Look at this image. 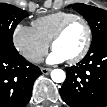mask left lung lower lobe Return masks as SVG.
Masks as SVG:
<instances>
[{
	"instance_id": "left-lung-lower-lobe-1",
	"label": "left lung lower lobe",
	"mask_w": 107,
	"mask_h": 107,
	"mask_svg": "<svg viewBox=\"0 0 107 107\" xmlns=\"http://www.w3.org/2000/svg\"><path fill=\"white\" fill-rule=\"evenodd\" d=\"M60 95L70 107L107 105V38L91 45L76 66L66 68Z\"/></svg>"
}]
</instances>
